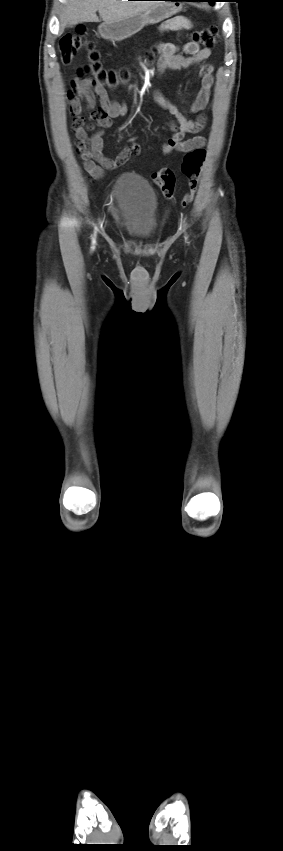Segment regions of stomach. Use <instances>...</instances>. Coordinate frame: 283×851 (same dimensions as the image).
<instances>
[{"label": "stomach", "mask_w": 283, "mask_h": 851, "mask_svg": "<svg viewBox=\"0 0 283 851\" xmlns=\"http://www.w3.org/2000/svg\"><path fill=\"white\" fill-rule=\"evenodd\" d=\"M173 1L160 2L143 13L121 21L104 22L99 26V33L103 38L112 41H122L129 38L139 32L145 25L159 23L181 11L182 3Z\"/></svg>", "instance_id": "1"}]
</instances>
